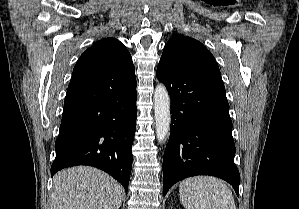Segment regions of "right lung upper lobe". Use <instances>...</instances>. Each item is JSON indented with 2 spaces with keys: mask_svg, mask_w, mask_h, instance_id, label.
Returning a JSON list of instances; mask_svg holds the SVG:
<instances>
[{
  "mask_svg": "<svg viewBox=\"0 0 299 209\" xmlns=\"http://www.w3.org/2000/svg\"><path fill=\"white\" fill-rule=\"evenodd\" d=\"M99 72H113L125 79L135 76L131 55L117 39L104 38L89 47L77 61L72 77Z\"/></svg>",
  "mask_w": 299,
  "mask_h": 209,
  "instance_id": "cb5924a9",
  "label": "right lung upper lobe"
}]
</instances>
